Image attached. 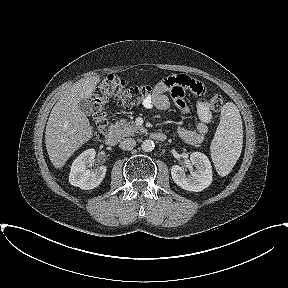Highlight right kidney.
I'll use <instances>...</instances> for the list:
<instances>
[{
    "instance_id": "1",
    "label": "right kidney",
    "mask_w": 288,
    "mask_h": 288,
    "mask_svg": "<svg viewBox=\"0 0 288 288\" xmlns=\"http://www.w3.org/2000/svg\"><path fill=\"white\" fill-rule=\"evenodd\" d=\"M95 154L94 149H88L74 160L69 174L71 185L84 190H90L100 185L107 171L106 166H100L96 172L87 169V165L94 161Z\"/></svg>"
}]
</instances>
